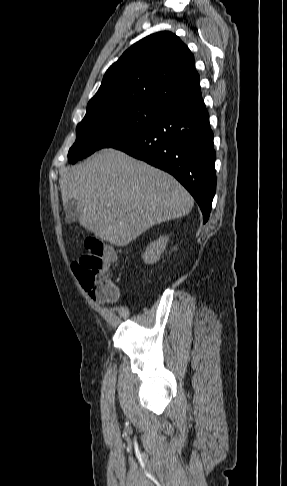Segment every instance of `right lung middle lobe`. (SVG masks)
Listing matches in <instances>:
<instances>
[{"mask_svg":"<svg viewBox=\"0 0 287 486\" xmlns=\"http://www.w3.org/2000/svg\"><path fill=\"white\" fill-rule=\"evenodd\" d=\"M168 109L145 101L102 104L87 109L77 125V138L68 152L69 162L101 148L113 147L139 135Z\"/></svg>","mask_w":287,"mask_h":486,"instance_id":"obj_1","label":"right lung middle lobe"}]
</instances>
